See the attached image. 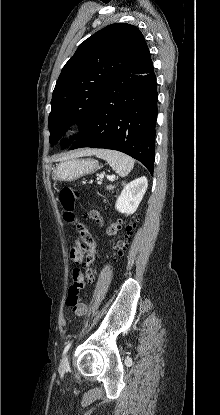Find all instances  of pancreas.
<instances>
[{"instance_id":"cf45deb5","label":"pancreas","mask_w":220,"mask_h":415,"mask_svg":"<svg viewBox=\"0 0 220 415\" xmlns=\"http://www.w3.org/2000/svg\"><path fill=\"white\" fill-rule=\"evenodd\" d=\"M115 186L109 185L107 186V190H113Z\"/></svg>"}]
</instances>
